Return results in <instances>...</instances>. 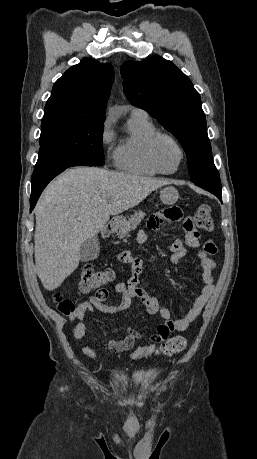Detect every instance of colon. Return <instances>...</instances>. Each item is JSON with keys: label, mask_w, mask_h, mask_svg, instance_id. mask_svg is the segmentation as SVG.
<instances>
[{"label": "colon", "mask_w": 257, "mask_h": 459, "mask_svg": "<svg viewBox=\"0 0 257 459\" xmlns=\"http://www.w3.org/2000/svg\"><path fill=\"white\" fill-rule=\"evenodd\" d=\"M195 221V229L203 231H211L213 229V219L211 208L208 205L200 206L193 219ZM197 235V233H196ZM113 276L111 271H97L90 264L83 266L78 275V284L83 292L95 291L98 299L105 300L108 297L107 290L103 287ZM54 300L57 303L58 309L63 314H71L76 305L73 301L63 298L60 294H55ZM187 339L183 335H177L163 342L158 353L163 356H170L183 351L186 348Z\"/></svg>", "instance_id": "1"}]
</instances>
